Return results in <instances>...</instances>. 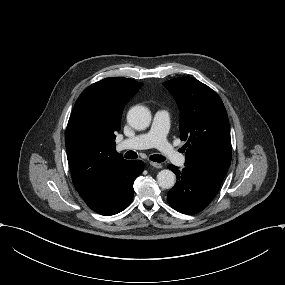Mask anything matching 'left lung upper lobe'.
I'll list each match as a JSON object with an SVG mask.
<instances>
[{
  "label": "left lung upper lobe",
  "instance_id": "left-lung-upper-lobe-1",
  "mask_svg": "<svg viewBox=\"0 0 285 285\" xmlns=\"http://www.w3.org/2000/svg\"><path fill=\"white\" fill-rule=\"evenodd\" d=\"M180 109V138L185 141V167L221 183L231 162V139L222 100L207 85L185 76L163 83Z\"/></svg>",
  "mask_w": 285,
  "mask_h": 285
}]
</instances>
